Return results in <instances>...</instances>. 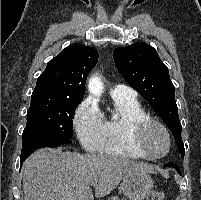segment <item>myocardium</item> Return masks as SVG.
<instances>
[{"mask_svg": "<svg viewBox=\"0 0 201 200\" xmlns=\"http://www.w3.org/2000/svg\"><path fill=\"white\" fill-rule=\"evenodd\" d=\"M150 126H156L160 128L166 136L167 139V149L159 156H152L148 153L145 145L143 136L146 129ZM130 140L132 145L144 156L145 159L157 161L165 158L171 151L172 148V138L168 128L157 119L152 117H144L134 121L130 127Z\"/></svg>", "mask_w": 201, "mask_h": 200, "instance_id": "1", "label": "myocardium"}]
</instances>
